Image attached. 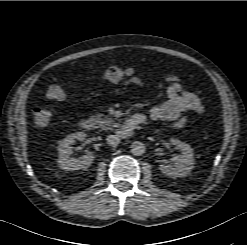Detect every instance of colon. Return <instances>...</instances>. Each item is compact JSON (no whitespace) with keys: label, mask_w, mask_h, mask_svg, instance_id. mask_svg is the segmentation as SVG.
I'll list each match as a JSON object with an SVG mask.
<instances>
[{"label":"colon","mask_w":247,"mask_h":245,"mask_svg":"<svg viewBox=\"0 0 247 245\" xmlns=\"http://www.w3.org/2000/svg\"><path fill=\"white\" fill-rule=\"evenodd\" d=\"M133 74L131 68H122L113 66L99 75L101 81L107 82H119L125 78H128ZM46 97L49 100L61 101L67 97L66 90L59 85H51L46 91ZM33 119L35 125L38 127L46 126L52 119V112L45 108H38L33 111ZM188 120L185 117L179 118L175 121L174 126L177 128H182L186 126Z\"/></svg>","instance_id":"1"}]
</instances>
